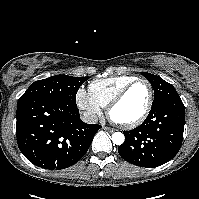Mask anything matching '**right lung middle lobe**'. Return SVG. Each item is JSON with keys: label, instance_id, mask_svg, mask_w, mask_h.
<instances>
[{"label": "right lung middle lobe", "instance_id": "obj_1", "mask_svg": "<svg viewBox=\"0 0 199 199\" xmlns=\"http://www.w3.org/2000/svg\"><path fill=\"white\" fill-rule=\"evenodd\" d=\"M88 77H72L68 75H56L43 80H38L26 90L18 102H23L35 97H43L50 100L76 105V93L79 87Z\"/></svg>", "mask_w": 199, "mask_h": 199}]
</instances>
